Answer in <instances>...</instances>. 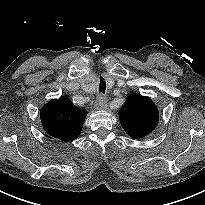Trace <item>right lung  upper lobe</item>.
Wrapping results in <instances>:
<instances>
[{
    "mask_svg": "<svg viewBox=\"0 0 205 205\" xmlns=\"http://www.w3.org/2000/svg\"><path fill=\"white\" fill-rule=\"evenodd\" d=\"M87 112L76 107L69 98L53 99L41 109V122L45 131L60 140H75L84 123Z\"/></svg>",
    "mask_w": 205,
    "mask_h": 205,
    "instance_id": "obj_1",
    "label": "right lung upper lobe"
}]
</instances>
